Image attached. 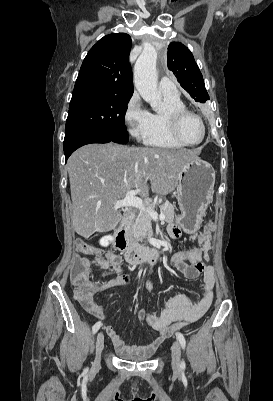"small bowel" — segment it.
Instances as JSON below:
<instances>
[{
	"label": "small bowel",
	"mask_w": 273,
	"mask_h": 401,
	"mask_svg": "<svg viewBox=\"0 0 273 401\" xmlns=\"http://www.w3.org/2000/svg\"><path fill=\"white\" fill-rule=\"evenodd\" d=\"M208 225L194 237L197 245L187 250L176 251L170 258V262L187 279L202 281V291L197 298L187 293H176L170 296L164 303L159 314L146 313L140 310L139 320L146 321L153 332L158 336L153 339L154 343L147 345L127 344L116 330L107 324H103V329L111 339L115 349L120 354H136L148 356L155 345H163L164 337L172 334L175 330L184 325L193 323L201 318L211 306L214 299L215 270L211 265L204 263L208 251L211 249V232L213 230L214 218L211 215L206 216ZM169 234L172 237H181L183 231L181 228H170ZM80 256L88 257L89 261H94L95 265L108 269L113 273L122 271V256L111 250H103L92 247L88 244L80 245ZM89 278H93L89 274ZM115 285H123L130 288L131 282L128 277H120L116 280L106 281L104 278H95L94 284H86L84 290H76L74 293L75 303L81 304L83 308L93 317L99 320L106 318L104 308L96 301V295L112 288ZM99 287H104L99 291Z\"/></svg>",
	"instance_id": "obj_1"
}]
</instances>
